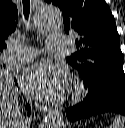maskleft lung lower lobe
<instances>
[{
	"label": "left lung lower lobe",
	"mask_w": 125,
	"mask_h": 128,
	"mask_svg": "<svg viewBox=\"0 0 125 128\" xmlns=\"http://www.w3.org/2000/svg\"><path fill=\"white\" fill-rule=\"evenodd\" d=\"M105 112L125 116V78L113 80L97 92L89 90L83 101L66 110V116L74 122Z\"/></svg>",
	"instance_id": "obj_1"
}]
</instances>
